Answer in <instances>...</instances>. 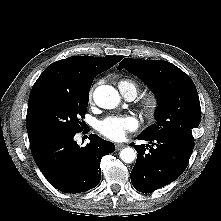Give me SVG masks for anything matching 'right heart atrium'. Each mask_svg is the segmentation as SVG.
<instances>
[{
  "mask_svg": "<svg viewBox=\"0 0 221 221\" xmlns=\"http://www.w3.org/2000/svg\"><path fill=\"white\" fill-rule=\"evenodd\" d=\"M92 94H93V89L90 90V93H89V100L92 99Z\"/></svg>",
  "mask_w": 221,
  "mask_h": 221,
  "instance_id": "1",
  "label": "right heart atrium"
}]
</instances>
